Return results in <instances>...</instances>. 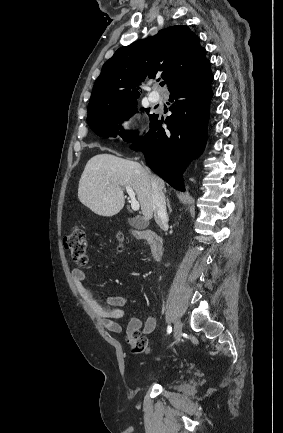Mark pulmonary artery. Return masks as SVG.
<instances>
[{"label": "pulmonary artery", "mask_w": 283, "mask_h": 433, "mask_svg": "<svg viewBox=\"0 0 283 433\" xmlns=\"http://www.w3.org/2000/svg\"><path fill=\"white\" fill-rule=\"evenodd\" d=\"M148 99L153 104H158L161 101V97L159 95H155V94H152V93H150L148 95Z\"/></svg>", "instance_id": "pulmonary-artery-1"}]
</instances>
